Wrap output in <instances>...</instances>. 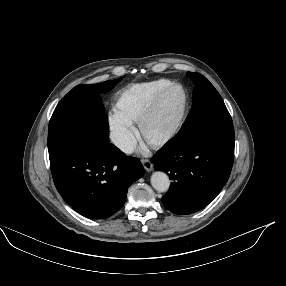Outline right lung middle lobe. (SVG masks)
I'll list each match as a JSON object with an SVG mask.
<instances>
[{
	"instance_id": "obj_1",
	"label": "right lung middle lobe",
	"mask_w": 286,
	"mask_h": 286,
	"mask_svg": "<svg viewBox=\"0 0 286 286\" xmlns=\"http://www.w3.org/2000/svg\"><path fill=\"white\" fill-rule=\"evenodd\" d=\"M120 80L78 85L61 99L49 122V154L76 141L93 143L107 153L113 149L100 94L112 89Z\"/></svg>"
}]
</instances>
